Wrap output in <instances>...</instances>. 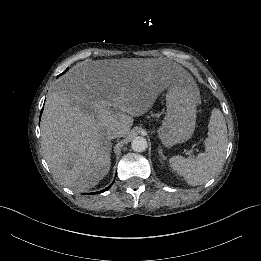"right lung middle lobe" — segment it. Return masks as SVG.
Instances as JSON below:
<instances>
[{"instance_id": "right-lung-middle-lobe-1", "label": "right lung middle lobe", "mask_w": 261, "mask_h": 261, "mask_svg": "<svg viewBox=\"0 0 261 261\" xmlns=\"http://www.w3.org/2000/svg\"><path fill=\"white\" fill-rule=\"evenodd\" d=\"M66 71H67V69H66ZM66 71H65V72H66ZM65 72H63V73H65ZM63 73H62V74H63ZM62 74H60V75H62Z\"/></svg>"}]
</instances>
